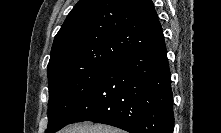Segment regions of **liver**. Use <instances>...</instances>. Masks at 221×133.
I'll use <instances>...</instances> for the list:
<instances>
[{
    "label": "liver",
    "mask_w": 221,
    "mask_h": 133,
    "mask_svg": "<svg viewBox=\"0 0 221 133\" xmlns=\"http://www.w3.org/2000/svg\"><path fill=\"white\" fill-rule=\"evenodd\" d=\"M61 133H123V131L107 125L85 122L66 127Z\"/></svg>",
    "instance_id": "liver-1"
}]
</instances>
